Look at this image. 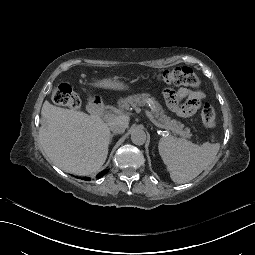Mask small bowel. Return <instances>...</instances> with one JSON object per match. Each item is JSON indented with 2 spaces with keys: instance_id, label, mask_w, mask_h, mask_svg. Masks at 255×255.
<instances>
[{
  "instance_id": "c3829d8e",
  "label": "small bowel",
  "mask_w": 255,
  "mask_h": 255,
  "mask_svg": "<svg viewBox=\"0 0 255 255\" xmlns=\"http://www.w3.org/2000/svg\"><path fill=\"white\" fill-rule=\"evenodd\" d=\"M177 96L179 98L186 99L185 104L178 111V114L182 117H189L192 116L200 107L204 94L201 91L181 88L177 92Z\"/></svg>"
}]
</instances>
